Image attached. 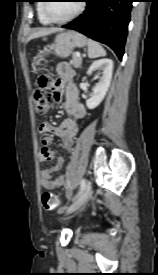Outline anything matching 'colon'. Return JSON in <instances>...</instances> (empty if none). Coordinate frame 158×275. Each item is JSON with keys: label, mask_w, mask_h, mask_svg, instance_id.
I'll return each instance as SVG.
<instances>
[{"label": "colon", "mask_w": 158, "mask_h": 275, "mask_svg": "<svg viewBox=\"0 0 158 275\" xmlns=\"http://www.w3.org/2000/svg\"><path fill=\"white\" fill-rule=\"evenodd\" d=\"M49 83L50 80L45 77H40L38 79V87L33 94L35 110L38 114L47 113L55 98V94L49 90ZM41 200L46 210H56L60 206L58 196L50 192H44Z\"/></svg>", "instance_id": "obj_1"}]
</instances>
